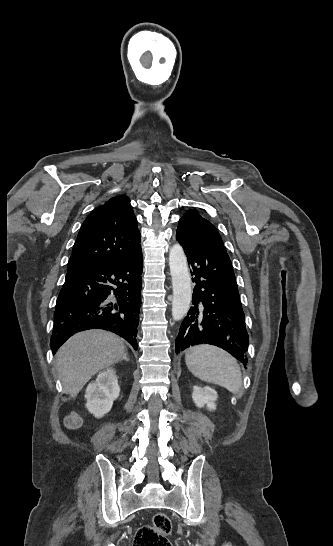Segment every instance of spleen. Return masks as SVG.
<instances>
[{"label": "spleen", "instance_id": "3e777b00", "mask_svg": "<svg viewBox=\"0 0 333 546\" xmlns=\"http://www.w3.org/2000/svg\"><path fill=\"white\" fill-rule=\"evenodd\" d=\"M190 372L202 381L218 384L232 393L242 388V376L236 360L218 347L199 345L190 347L185 354Z\"/></svg>", "mask_w": 333, "mask_h": 546}]
</instances>
